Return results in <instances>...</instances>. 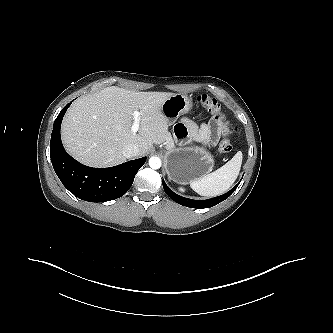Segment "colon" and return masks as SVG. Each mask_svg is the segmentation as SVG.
I'll return each instance as SVG.
<instances>
[{
  "label": "colon",
  "mask_w": 333,
  "mask_h": 333,
  "mask_svg": "<svg viewBox=\"0 0 333 333\" xmlns=\"http://www.w3.org/2000/svg\"><path fill=\"white\" fill-rule=\"evenodd\" d=\"M197 101L202 107H204L215 116H218L222 119L225 118L224 114L221 112L220 104L215 98H212L206 94H201L198 96ZM236 132L237 126L228 123L226 126V135L218 147V152L220 155H225L232 150L231 138Z\"/></svg>",
  "instance_id": "1"
}]
</instances>
